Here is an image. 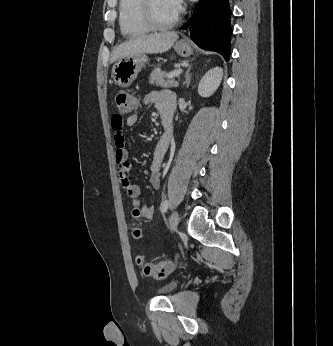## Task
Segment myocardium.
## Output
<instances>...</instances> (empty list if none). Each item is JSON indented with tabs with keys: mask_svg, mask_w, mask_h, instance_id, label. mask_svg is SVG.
<instances>
[{
	"mask_svg": "<svg viewBox=\"0 0 333 346\" xmlns=\"http://www.w3.org/2000/svg\"><path fill=\"white\" fill-rule=\"evenodd\" d=\"M142 10L144 18L150 28L155 30H165L174 26L179 20V13H176L170 20L161 22L153 12V0H142Z\"/></svg>",
	"mask_w": 333,
	"mask_h": 346,
	"instance_id": "myocardium-1",
	"label": "myocardium"
}]
</instances>
